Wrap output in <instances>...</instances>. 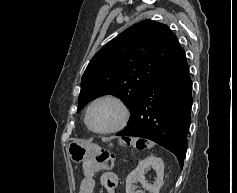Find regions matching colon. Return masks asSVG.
Returning a JSON list of instances; mask_svg holds the SVG:
<instances>
[{
    "instance_id": "5ec220e1",
    "label": "colon",
    "mask_w": 237,
    "mask_h": 193,
    "mask_svg": "<svg viewBox=\"0 0 237 193\" xmlns=\"http://www.w3.org/2000/svg\"><path fill=\"white\" fill-rule=\"evenodd\" d=\"M122 144L126 146H134L136 148H144L142 140L140 139H132V138H124ZM115 165V156L109 151H102L95 159L94 164H90L89 168L94 169L95 171L112 170Z\"/></svg>"
}]
</instances>
